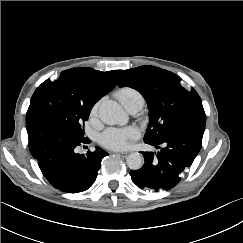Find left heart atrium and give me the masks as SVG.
Wrapping results in <instances>:
<instances>
[{
    "instance_id": "1",
    "label": "left heart atrium",
    "mask_w": 243,
    "mask_h": 243,
    "mask_svg": "<svg viewBox=\"0 0 243 243\" xmlns=\"http://www.w3.org/2000/svg\"><path fill=\"white\" fill-rule=\"evenodd\" d=\"M139 137L136 127L108 128L99 136V142L110 149H125L129 143Z\"/></svg>"
}]
</instances>
